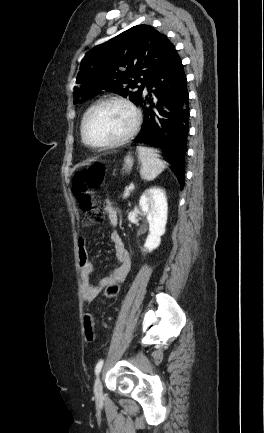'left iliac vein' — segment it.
Listing matches in <instances>:
<instances>
[{
  "label": "left iliac vein",
  "instance_id": "4c4485c4",
  "mask_svg": "<svg viewBox=\"0 0 264 433\" xmlns=\"http://www.w3.org/2000/svg\"><path fill=\"white\" fill-rule=\"evenodd\" d=\"M94 394L97 401H102L103 399V392H102V382L101 377H97L95 384H94Z\"/></svg>",
  "mask_w": 264,
  "mask_h": 433
}]
</instances>
